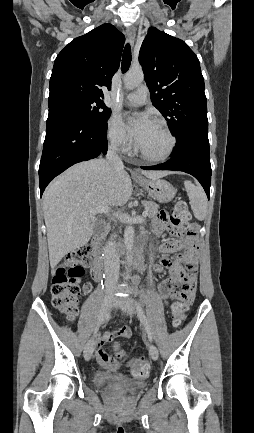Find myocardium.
<instances>
[{"mask_svg": "<svg viewBox=\"0 0 254 433\" xmlns=\"http://www.w3.org/2000/svg\"><path fill=\"white\" fill-rule=\"evenodd\" d=\"M153 122L156 123L157 125H159L163 129V131L165 132L167 137L169 138V146H168L167 150L159 156H152V155L147 154L144 150H142L138 144H137L136 148H137L138 153L141 155V157L144 160L150 161V162H162V161H165L166 159H168L173 154V152L176 148L177 141H176V137L174 136L171 129L169 128V126L167 125V123L164 120L155 119Z\"/></svg>", "mask_w": 254, "mask_h": 433, "instance_id": "obj_1", "label": "myocardium"}]
</instances>
